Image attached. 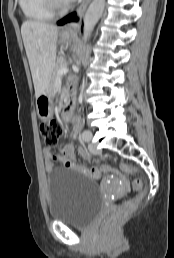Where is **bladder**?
Wrapping results in <instances>:
<instances>
[{
	"label": "bladder",
	"mask_w": 174,
	"mask_h": 258,
	"mask_svg": "<svg viewBox=\"0 0 174 258\" xmlns=\"http://www.w3.org/2000/svg\"><path fill=\"white\" fill-rule=\"evenodd\" d=\"M48 213L51 219L74 227H87L103 209L101 189L72 169H53L47 177Z\"/></svg>",
	"instance_id": "1"
}]
</instances>
